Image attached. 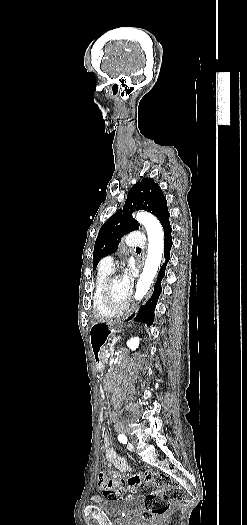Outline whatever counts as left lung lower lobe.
Returning a JSON list of instances; mask_svg holds the SVG:
<instances>
[{"label":"left lung lower lobe","instance_id":"1","mask_svg":"<svg viewBox=\"0 0 247 525\" xmlns=\"http://www.w3.org/2000/svg\"><path fill=\"white\" fill-rule=\"evenodd\" d=\"M162 227L164 229V256H165V263L162 265L157 281L154 286V291L151 296V298L148 300V302L143 305L140 310L138 311L136 317L134 318L135 321L147 323L151 325L154 321V310L156 307V303L158 301V298L161 294V280L165 275V268L166 265L170 259V249L172 247V238H171V226L169 222V216H167L162 222Z\"/></svg>","mask_w":247,"mask_h":525}]
</instances>
